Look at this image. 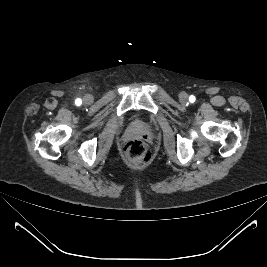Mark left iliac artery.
<instances>
[{
  "label": "left iliac artery",
  "instance_id": "obj_1",
  "mask_svg": "<svg viewBox=\"0 0 267 267\" xmlns=\"http://www.w3.org/2000/svg\"><path fill=\"white\" fill-rule=\"evenodd\" d=\"M189 101H190V102H194V101H195V97H194L193 95L190 96V97H189Z\"/></svg>",
  "mask_w": 267,
  "mask_h": 267
}]
</instances>
